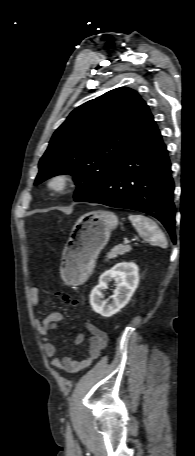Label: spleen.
<instances>
[{
    "mask_svg": "<svg viewBox=\"0 0 195 456\" xmlns=\"http://www.w3.org/2000/svg\"><path fill=\"white\" fill-rule=\"evenodd\" d=\"M129 220L138 234L145 240L155 245H160L163 248L167 247V240L164 233L152 219L140 214H132L129 215Z\"/></svg>",
    "mask_w": 195,
    "mask_h": 456,
    "instance_id": "3e777b00",
    "label": "spleen"
}]
</instances>
